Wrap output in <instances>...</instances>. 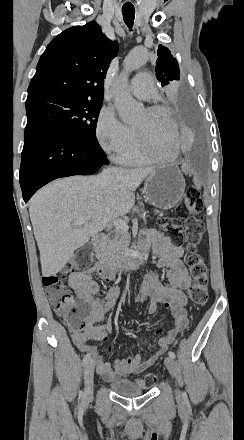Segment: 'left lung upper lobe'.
Listing matches in <instances>:
<instances>
[{
	"label": "left lung upper lobe",
	"mask_w": 244,
	"mask_h": 440,
	"mask_svg": "<svg viewBox=\"0 0 244 440\" xmlns=\"http://www.w3.org/2000/svg\"><path fill=\"white\" fill-rule=\"evenodd\" d=\"M156 61V77L161 82V86H167L180 79V70L176 59L173 58L168 48L159 45Z\"/></svg>",
	"instance_id": "left-lung-upper-lobe-1"
}]
</instances>
